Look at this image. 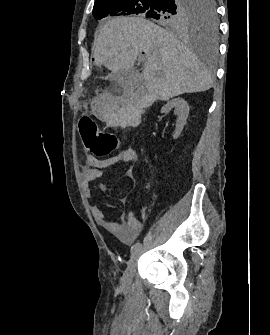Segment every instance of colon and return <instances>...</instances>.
I'll list each match as a JSON object with an SVG mask.
<instances>
[{"instance_id":"colon-1","label":"colon","mask_w":270,"mask_h":335,"mask_svg":"<svg viewBox=\"0 0 270 335\" xmlns=\"http://www.w3.org/2000/svg\"><path fill=\"white\" fill-rule=\"evenodd\" d=\"M81 133L86 149L96 158H106L121 146L122 139L114 133L105 132L91 120L90 116H79Z\"/></svg>"}]
</instances>
